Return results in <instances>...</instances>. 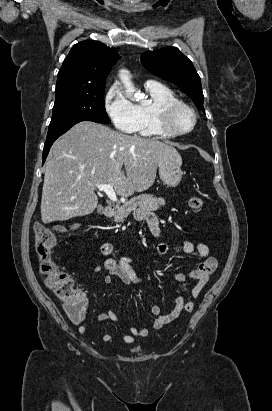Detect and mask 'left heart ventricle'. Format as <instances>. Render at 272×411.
<instances>
[{
    "mask_svg": "<svg viewBox=\"0 0 272 411\" xmlns=\"http://www.w3.org/2000/svg\"><path fill=\"white\" fill-rule=\"evenodd\" d=\"M192 122V116L186 110L178 111L173 117V125L178 130L186 129Z\"/></svg>",
    "mask_w": 272,
    "mask_h": 411,
    "instance_id": "obj_1",
    "label": "left heart ventricle"
}]
</instances>
